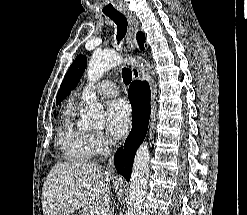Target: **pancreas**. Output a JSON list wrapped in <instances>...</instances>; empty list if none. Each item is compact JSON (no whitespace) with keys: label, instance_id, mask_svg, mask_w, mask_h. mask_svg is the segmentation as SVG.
<instances>
[{"label":"pancreas","instance_id":"cf45deb5","mask_svg":"<svg viewBox=\"0 0 247 215\" xmlns=\"http://www.w3.org/2000/svg\"><path fill=\"white\" fill-rule=\"evenodd\" d=\"M97 210L98 206L86 207L81 211V215H96Z\"/></svg>","mask_w":247,"mask_h":215}]
</instances>
